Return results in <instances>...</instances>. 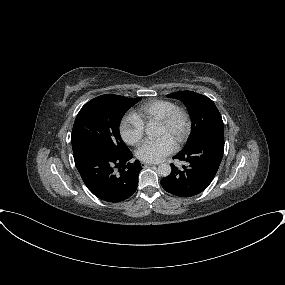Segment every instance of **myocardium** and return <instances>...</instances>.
<instances>
[{
    "label": "myocardium",
    "mask_w": 285,
    "mask_h": 285,
    "mask_svg": "<svg viewBox=\"0 0 285 285\" xmlns=\"http://www.w3.org/2000/svg\"><path fill=\"white\" fill-rule=\"evenodd\" d=\"M177 121L181 122V131L176 139V145H181L187 140L191 129V121L187 111L183 108L176 107L164 118L159 120L158 123L166 128H171Z\"/></svg>",
    "instance_id": "myocardium-1"
}]
</instances>
